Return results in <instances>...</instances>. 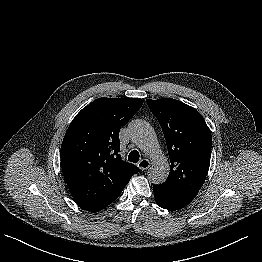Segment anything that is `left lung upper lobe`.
I'll list each match as a JSON object with an SVG mask.
<instances>
[{"instance_id":"obj_1","label":"left lung upper lobe","mask_w":262,"mask_h":262,"mask_svg":"<svg viewBox=\"0 0 262 262\" xmlns=\"http://www.w3.org/2000/svg\"><path fill=\"white\" fill-rule=\"evenodd\" d=\"M146 101L161 125L171 162L169 176L161 186L195 198L210 166V129L197 110L181 101Z\"/></svg>"}]
</instances>
